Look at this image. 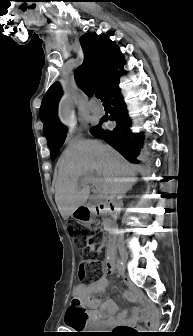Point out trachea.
Listing matches in <instances>:
<instances>
[{"label":"trachea","instance_id":"1","mask_svg":"<svg viewBox=\"0 0 193 336\" xmlns=\"http://www.w3.org/2000/svg\"><path fill=\"white\" fill-rule=\"evenodd\" d=\"M95 96H96V98L100 99L103 103L105 102V100H104L103 95H102L101 92L97 91L95 93Z\"/></svg>","mask_w":193,"mask_h":336}]
</instances>
